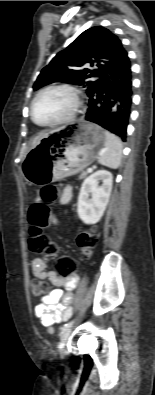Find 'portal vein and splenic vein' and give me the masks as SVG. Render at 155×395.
Wrapping results in <instances>:
<instances>
[{
    "label": "portal vein and splenic vein",
    "mask_w": 155,
    "mask_h": 395,
    "mask_svg": "<svg viewBox=\"0 0 155 395\" xmlns=\"http://www.w3.org/2000/svg\"><path fill=\"white\" fill-rule=\"evenodd\" d=\"M87 172H88V173H91V172H92V168H88V169H87Z\"/></svg>",
    "instance_id": "obj_1"
}]
</instances>
